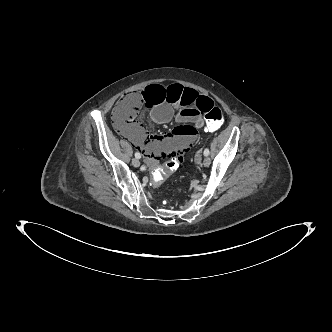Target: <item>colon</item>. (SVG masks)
<instances>
[{
	"instance_id": "colon-1",
	"label": "colon",
	"mask_w": 332,
	"mask_h": 332,
	"mask_svg": "<svg viewBox=\"0 0 332 332\" xmlns=\"http://www.w3.org/2000/svg\"><path fill=\"white\" fill-rule=\"evenodd\" d=\"M141 94L138 92L129 93L119 100L114 110V123L116 126H130L133 123L136 114L143 107ZM204 115L207 125L213 130L218 129L223 124V112L214 104L204 112ZM182 159L183 156L178 159L173 157L169 160L164 158L163 163L152 169L151 182L155 186L161 185L171 173L178 172L181 169Z\"/></svg>"
}]
</instances>
